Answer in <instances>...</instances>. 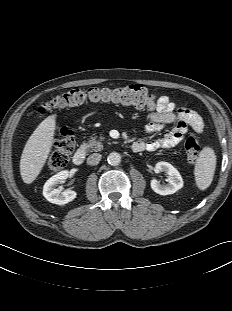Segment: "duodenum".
Instances as JSON below:
<instances>
[{
	"mask_svg": "<svg viewBox=\"0 0 232 311\" xmlns=\"http://www.w3.org/2000/svg\"><path fill=\"white\" fill-rule=\"evenodd\" d=\"M145 144L143 142H134L132 148L135 152L143 151ZM86 156V149L79 148L73 155V162L76 165H80L84 162Z\"/></svg>",
	"mask_w": 232,
	"mask_h": 311,
	"instance_id": "1",
	"label": "duodenum"
}]
</instances>
